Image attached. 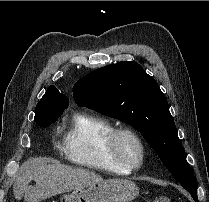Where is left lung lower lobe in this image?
I'll return each instance as SVG.
<instances>
[{
  "instance_id": "left-lung-lower-lobe-1",
  "label": "left lung lower lobe",
  "mask_w": 209,
  "mask_h": 202,
  "mask_svg": "<svg viewBox=\"0 0 209 202\" xmlns=\"http://www.w3.org/2000/svg\"><path fill=\"white\" fill-rule=\"evenodd\" d=\"M193 199L198 202V198H197V195H192Z\"/></svg>"
}]
</instances>
